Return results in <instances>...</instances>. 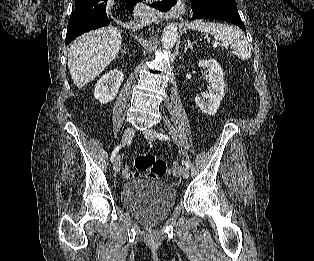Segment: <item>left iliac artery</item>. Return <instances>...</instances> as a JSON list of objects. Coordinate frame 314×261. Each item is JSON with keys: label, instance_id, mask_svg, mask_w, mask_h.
I'll list each match as a JSON object with an SVG mask.
<instances>
[{"label": "left iliac artery", "instance_id": "left-iliac-artery-1", "mask_svg": "<svg viewBox=\"0 0 314 261\" xmlns=\"http://www.w3.org/2000/svg\"><path fill=\"white\" fill-rule=\"evenodd\" d=\"M156 136H157V138L160 139V140H170V138H169L167 135L162 134V133H157ZM184 164H185V166H186L187 168L190 167V164H189V162H188L187 160H184Z\"/></svg>", "mask_w": 314, "mask_h": 261}]
</instances>
